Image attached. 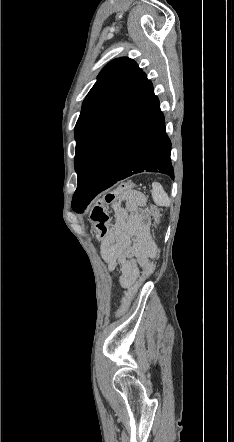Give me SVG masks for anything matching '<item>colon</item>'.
<instances>
[{
	"label": "colon",
	"instance_id": "5ec220e1",
	"mask_svg": "<svg viewBox=\"0 0 234 442\" xmlns=\"http://www.w3.org/2000/svg\"><path fill=\"white\" fill-rule=\"evenodd\" d=\"M135 188V184L132 182H124L120 184L116 189L106 193L104 197L99 200L90 212V219L94 225L96 235L98 238L104 237L107 232V224H108V213L106 206L116 203L117 201L126 197L129 193H131ZM148 215L154 219V221L158 220L159 213L155 206L150 205L147 209ZM159 267L158 261H147L146 267L139 279V281L127 292L122 301V307L119 311V314L124 312L128 306L130 305L131 300L133 299L136 292L142 286L144 281L154 273L155 268Z\"/></svg>",
	"mask_w": 234,
	"mask_h": 442
}]
</instances>
